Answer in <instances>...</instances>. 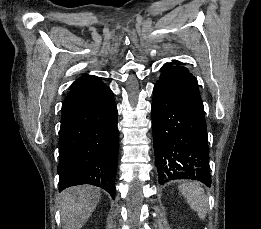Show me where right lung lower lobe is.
Segmentation results:
<instances>
[{"label":"right lung lower lobe","mask_w":261,"mask_h":229,"mask_svg":"<svg viewBox=\"0 0 261 229\" xmlns=\"http://www.w3.org/2000/svg\"><path fill=\"white\" fill-rule=\"evenodd\" d=\"M113 92L95 77L64 100L59 134V191L93 185L115 197L119 132Z\"/></svg>","instance_id":"obj_1"}]
</instances>
